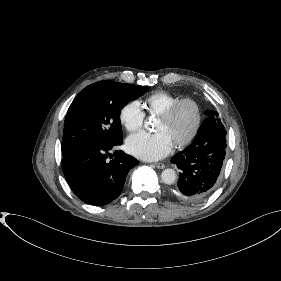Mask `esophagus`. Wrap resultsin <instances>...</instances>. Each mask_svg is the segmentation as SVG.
I'll return each instance as SVG.
<instances>
[{
    "label": "esophagus",
    "instance_id": "34e87169",
    "mask_svg": "<svg viewBox=\"0 0 281 281\" xmlns=\"http://www.w3.org/2000/svg\"><path fill=\"white\" fill-rule=\"evenodd\" d=\"M154 166L158 169H164L165 168V165L162 164V163H155Z\"/></svg>",
    "mask_w": 281,
    "mask_h": 281
}]
</instances>
